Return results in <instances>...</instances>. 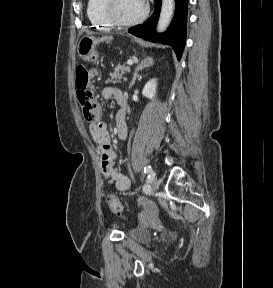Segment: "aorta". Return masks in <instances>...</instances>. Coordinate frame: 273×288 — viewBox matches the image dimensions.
<instances>
[{
  "label": "aorta",
  "mask_w": 273,
  "mask_h": 288,
  "mask_svg": "<svg viewBox=\"0 0 273 288\" xmlns=\"http://www.w3.org/2000/svg\"><path fill=\"white\" fill-rule=\"evenodd\" d=\"M175 0H162L161 12L157 24V31L163 32L167 29L174 14Z\"/></svg>",
  "instance_id": "obj_1"
}]
</instances>
